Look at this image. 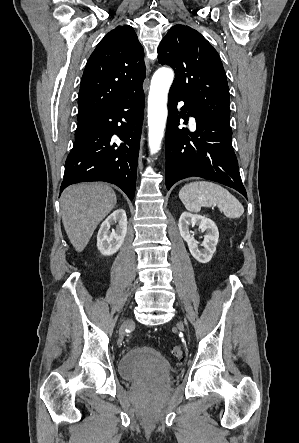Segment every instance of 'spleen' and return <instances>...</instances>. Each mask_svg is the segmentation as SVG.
I'll return each instance as SVG.
<instances>
[{
    "instance_id": "3e777b00",
    "label": "spleen",
    "mask_w": 299,
    "mask_h": 443,
    "mask_svg": "<svg viewBox=\"0 0 299 443\" xmlns=\"http://www.w3.org/2000/svg\"><path fill=\"white\" fill-rule=\"evenodd\" d=\"M179 198L190 212H199L202 206L217 205L228 218H239L244 207L222 186L208 181L191 182L182 187Z\"/></svg>"
}]
</instances>
